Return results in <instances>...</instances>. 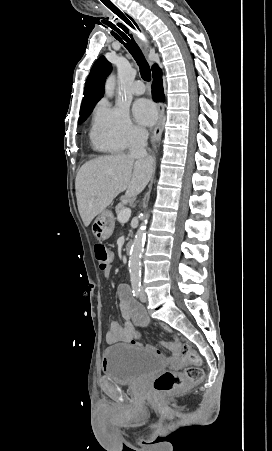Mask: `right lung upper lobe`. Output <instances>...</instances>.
I'll use <instances>...</instances> for the list:
<instances>
[{
    "instance_id": "obj_1",
    "label": "right lung upper lobe",
    "mask_w": 272,
    "mask_h": 451,
    "mask_svg": "<svg viewBox=\"0 0 272 451\" xmlns=\"http://www.w3.org/2000/svg\"><path fill=\"white\" fill-rule=\"evenodd\" d=\"M111 71V63L101 56L94 63L87 78L82 108H93L95 104L103 97L104 81Z\"/></svg>"
}]
</instances>
